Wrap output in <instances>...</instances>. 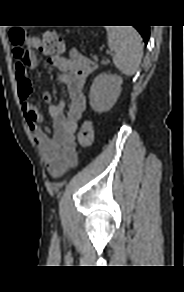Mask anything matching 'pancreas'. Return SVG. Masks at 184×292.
Returning <instances> with one entry per match:
<instances>
[{
  "mask_svg": "<svg viewBox=\"0 0 184 292\" xmlns=\"http://www.w3.org/2000/svg\"><path fill=\"white\" fill-rule=\"evenodd\" d=\"M93 59L95 60V61H97L98 59H97V56H93ZM109 63V61L107 60V61H102V64H108Z\"/></svg>",
  "mask_w": 184,
  "mask_h": 292,
  "instance_id": "obj_1",
  "label": "pancreas"
}]
</instances>
